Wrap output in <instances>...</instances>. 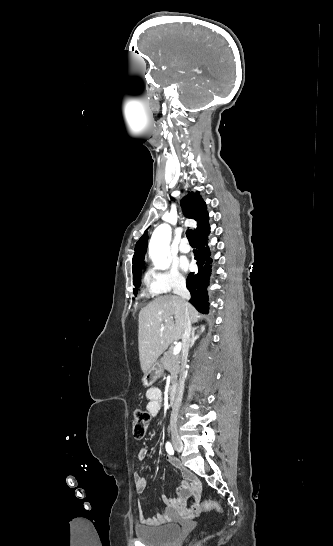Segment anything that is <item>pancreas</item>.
<instances>
[{"label": "pancreas", "mask_w": 333, "mask_h": 546, "mask_svg": "<svg viewBox=\"0 0 333 546\" xmlns=\"http://www.w3.org/2000/svg\"><path fill=\"white\" fill-rule=\"evenodd\" d=\"M163 369L168 370L171 375V382L175 383L178 378V374L181 373V356L173 355V348L170 347L168 351H166L163 355V357L160 360Z\"/></svg>", "instance_id": "1"}]
</instances>
